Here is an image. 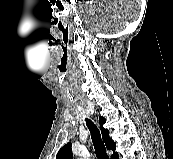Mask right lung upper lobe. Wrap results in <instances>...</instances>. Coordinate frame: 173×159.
<instances>
[{
  "label": "right lung upper lobe",
  "mask_w": 173,
  "mask_h": 159,
  "mask_svg": "<svg viewBox=\"0 0 173 159\" xmlns=\"http://www.w3.org/2000/svg\"><path fill=\"white\" fill-rule=\"evenodd\" d=\"M99 122H100V129H101L103 141L105 142L107 149H110L113 151V155L111 156V159H118L119 155L118 153L115 152V148H116L115 142L109 138L108 129L103 128V124L106 122V119L103 117H100ZM71 146H72L71 143H67L65 146H63L57 153L56 159H73Z\"/></svg>",
  "instance_id": "cb5924a9"
}]
</instances>
